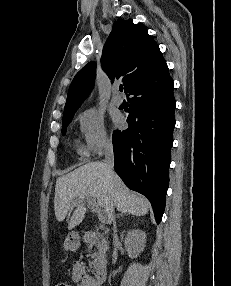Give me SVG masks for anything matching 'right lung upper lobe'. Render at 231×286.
<instances>
[{
    "mask_svg": "<svg viewBox=\"0 0 231 286\" xmlns=\"http://www.w3.org/2000/svg\"><path fill=\"white\" fill-rule=\"evenodd\" d=\"M108 77L121 79L124 90L140 79L168 72L167 64L155 40L147 29L132 19L117 21L104 45L101 58ZM95 65H85L74 77L68 91L64 116L75 112L93 88Z\"/></svg>",
    "mask_w": 231,
    "mask_h": 286,
    "instance_id": "cb5924a9",
    "label": "right lung upper lobe"
}]
</instances>
